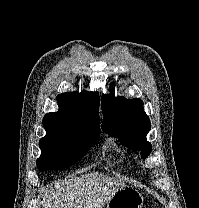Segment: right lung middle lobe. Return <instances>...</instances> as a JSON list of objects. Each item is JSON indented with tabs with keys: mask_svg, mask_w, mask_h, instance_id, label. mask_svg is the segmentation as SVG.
<instances>
[{
	"mask_svg": "<svg viewBox=\"0 0 199 208\" xmlns=\"http://www.w3.org/2000/svg\"><path fill=\"white\" fill-rule=\"evenodd\" d=\"M47 134L40 139L41 156L36 164L40 170L64 169L79 161L95 144L100 130L45 128Z\"/></svg>",
	"mask_w": 199,
	"mask_h": 208,
	"instance_id": "dd1d6c3e",
	"label": "right lung middle lobe"
}]
</instances>
